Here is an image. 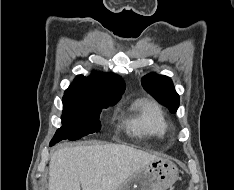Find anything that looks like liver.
<instances>
[{
    "label": "liver",
    "instance_id": "1",
    "mask_svg": "<svg viewBox=\"0 0 234 190\" xmlns=\"http://www.w3.org/2000/svg\"><path fill=\"white\" fill-rule=\"evenodd\" d=\"M156 155L121 144L67 147L49 163V190H117Z\"/></svg>",
    "mask_w": 234,
    "mask_h": 190
}]
</instances>
